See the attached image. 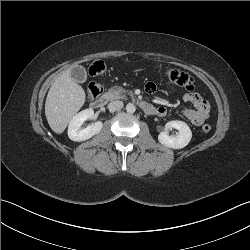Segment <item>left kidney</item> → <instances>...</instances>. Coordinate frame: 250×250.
<instances>
[{
	"label": "left kidney",
	"instance_id": "left-kidney-1",
	"mask_svg": "<svg viewBox=\"0 0 250 250\" xmlns=\"http://www.w3.org/2000/svg\"><path fill=\"white\" fill-rule=\"evenodd\" d=\"M175 128L179 131L177 135L170 136L167 129ZM192 138L189 126L183 121H170L166 123L165 130L158 135V141L169 148L181 149L187 146Z\"/></svg>",
	"mask_w": 250,
	"mask_h": 250
}]
</instances>
